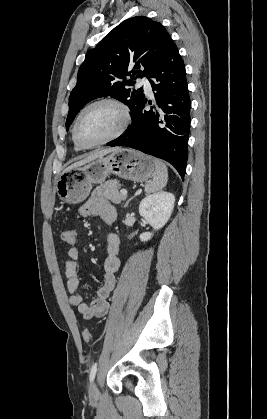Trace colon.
Instances as JSON below:
<instances>
[{"mask_svg":"<svg viewBox=\"0 0 267 419\" xmlns=\"http://www.w3.org/2000/svg\"><path fill=\"white\" fill-rule=\"evenodd\" d=\"M61 239L68 245H74L76 242V233L72 230L65 229L61 232ZM82 335L86 342H89L92 339V334L89 329H84Z\"/></svg>","mask_w":267,"mask_h":419,"instance_id":"5ec220e1","label":"colon"}]
</instances>
